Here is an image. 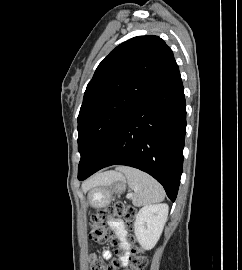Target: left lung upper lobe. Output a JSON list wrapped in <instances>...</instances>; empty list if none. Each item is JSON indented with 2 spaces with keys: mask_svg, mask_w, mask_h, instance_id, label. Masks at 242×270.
Wrapping results in <instances>:
<instances>
[{
  "mask_svg": "<svg viewBox=\"0 0 242 270\" xmlns=\"http://www.w3.org/2000/svg\"><path fill=\"white\" fill-rule=\"evenodd\" d=\"M175 63L157 36H138L118 45L98 65L78 115V175L85 172L124 118Z\"/></svg>",
  "mask_w": 242,
  "mask_h": 270,
  "instance_id": "left-lung-upper-lobe-1",
  "label": "left lung upper lobe"
}]
</instances>
